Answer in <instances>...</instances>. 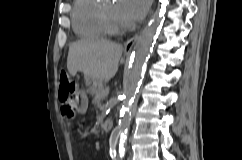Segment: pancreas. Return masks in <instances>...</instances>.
I'll return each instance as SVG.
<instances>
[{"label":"pancreas","instance_id":"obj_1","mask_svg":"<svg viewBox=\"0 0 242 160\" xmlns=\"http://www.w3.org/2000/svg\"><path fill=\"white\" fill-rule=\"evenodd\" d=\"M109 93V87H103L94 97L93 104L97 107H101V101L107 97Z\"/></svg>","mask_w":242,"mask_h":160}]
</instances>
